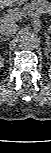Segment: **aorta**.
Wrapping results in <instances>:
<instances>
[{"label": "aorta", "mask_w": 51, "mask_h": 153, "mask_svg": "<svg viewBox=\"0 0 51 153\" xmlns=\"http://www.w3.org/2000/svg\"><path fill=\"white\" fill-rule=\"evenodd\" d=\"M38 42V36L31 31H23L19 35V47L21 49H32Z\"/></svg>", "instance_id": "762f6f07"}]
</instances>
